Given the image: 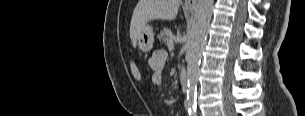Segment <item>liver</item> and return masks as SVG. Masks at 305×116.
Masks as SVG:
<instances>
[{
  "label": "liver",
  "mask_w": 305,
  "mask_h": 116,
  "mask_svg": "<svg viewBox=\"0 0 305 116\" xmlns=\"http://www.w3.org/2000/svg\"><path fill=\"white\" fill-rule=\"evenodd\" d=\"M181 2V0H139L130 23V38L133 47H136L138 38L149 21L174 20Z\"/></svg>",
  "instance_id": "1"
}]
</instances>
